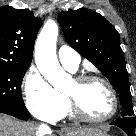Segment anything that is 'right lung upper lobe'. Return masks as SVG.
Wrapping results in <instances>:
<instances>
[{"mask_svg": "<svg viewBox=\"0 0 136 136\" xmlns=\"http://www.w3.org/2000/svg\"><path fill=\"white\" fill-rule=\"evenodd\" d=\"M40 26L27 9L0 7V66L29 67Z\"/></svg>", "mask_w": 136, "mask_h": 136, "instance_id": "cb5924a9", "label": "right lung upper lobe"}]
</instances>
